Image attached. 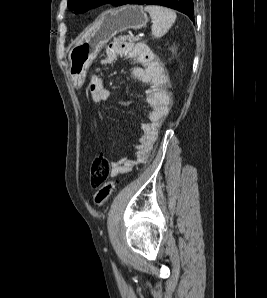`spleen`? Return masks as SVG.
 Segmentation results:
<instances>
[{"mask_svg": "<svg viewBox=\"0 0 267 298\" xmlns=\"http://www.w3.org/2000/svg\"><path fill=\"white\" fill-rule=\"evenodd\" d=\"M152 19V34L156 38L164 36L176 20V13L168 8L155 5H147L144 8Z\"/></svg>", "mask_w": 267, "mask_h": 298, "instance_id": "obj_1", "label": "spleen"}]
</instances>
